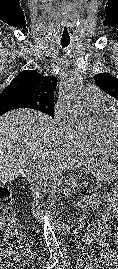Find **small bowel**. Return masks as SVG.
Listing matches in <instances>:
<instances>
[{
  "label": "small bowel",
  "mask_w": 118,
  "mask_h": 269,
  "mask_svg": "<svg viewBox=\"0 0 118 269\" xmlns=\"http://www.w3.org/2000/svg\"><path fill=\"white\" fill-rule=\"evenodd\" d=\"M105 207V212L102 217L97 221L95 229L86 232L82 237V242L89 247L97 245L101 246V259L103 260V262L110 267H112L113 265L118 266V253L105 243L108 222L111 219L118 217V203L115 197H108L105 200ZM114 240L115 244L118 245V232L115 234ZM91 263L93 262L89 261L87 265L89 266ZM21 269L27 268L23 267Z\"/></svg>",
  "instance_id": "small-bowel-1"
}]
</instances>
